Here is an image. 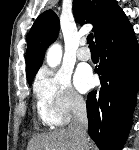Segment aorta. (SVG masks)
<instances>
[{
	"label": "aorta",
	"mask_w": 139,
	"mask_h": 150,
	"mask_svg": "<svg viewBox=\"0 0 139 150\" xmlns=\"http://www.w3.org/2000/svg\"><path fill=\"white\" fill-rule=\"evenodd\" d=\"M62 57V48L59 44H53L47 52V63L50 67L57 66Z\"/></svg>",
	"instance_id": "762f6f07"
}]
</instances>
